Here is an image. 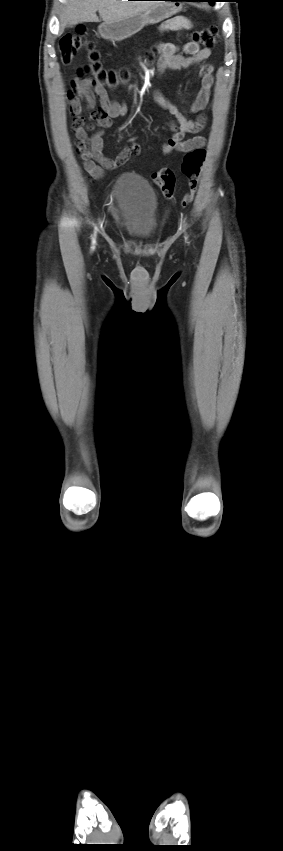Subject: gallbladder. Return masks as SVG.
I'll list each match as a JSON object with an SVG mask.
<instances>
[{
  "mask_svg": "<svg viewBox=\"0 0 283 851\" xmlns=\"http://www.w3.org/2000/svg\"><path fill=\"white\" fill-rule=\"evenodd\" d=\"M72 26H73V24H70V23H69V24H67V27H72Z\"/></svg>",
  "mask_w": 283,
  "mask_h": 851,
  "instance_id": "obj_1",
  "label": "gallbladder"
}]
</instances>
